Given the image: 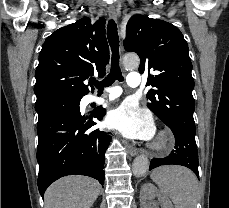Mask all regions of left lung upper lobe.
<instances>
[{
  "label": "left lung upper lobe",
  "instance_id": "1",
  "mask_svg": "<svg viewBox=\"0 0 229 208\" xmlns=\"http://www.w3.org/2000/svg\"><path fill=\"white\" fill-rule=\"evenodd\" d=\"M124 48L139 55L140 73L155 72L146 84L153 87L146 96L148 108L167 126L195 130L192 63L181 31L166 21L135 14L126 26Z\"/></svg>",
  "mask_w": 229,
  "mask_h": 208
}]
</instances>
